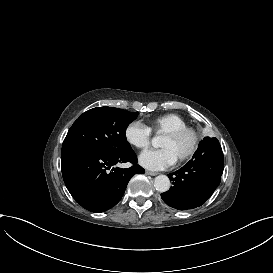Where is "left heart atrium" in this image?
I'll return each instance as SVG.
<instances>
[{
  "label": "left heart atrium",
  "mask_w": 273,
  "mask_h": 273,
  "mask_svg": "<svg viewBox=\"0 0 273 273\" xmlns=\"http://www.w3.org/2000/svg\"><path fill=\"white\" fill-rule=\"evenodd\" d=\"M176 158L168 148L147 149L139 156V163L146 169L159 170L176 162Z\"/></svg>",
  "instance_id": "left-heart-atrium-1"
}]
</instances>
